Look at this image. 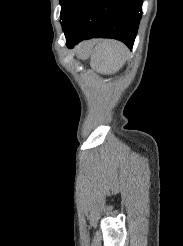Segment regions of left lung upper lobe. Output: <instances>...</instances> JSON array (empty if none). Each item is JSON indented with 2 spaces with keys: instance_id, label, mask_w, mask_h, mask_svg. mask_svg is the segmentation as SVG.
<instances>
[{
  "instance_id": "obj_1",
  "label": "left lung upper lobe",
  "mask_w": 183,
  "mask_h": 246,
  "mask_svg": "<svg viewBox=\"0 0 183 246\" xmlns=\"http://www.w3.org/2000/svg\"><path fill=\"white\" fill-rule=\"evenodd\" d=\"M72 2H73V0H60V5H61L60 17H61L62 22L66 16ZM62 22H61V24H62Z\"/></svg>"
}]
</instances>
